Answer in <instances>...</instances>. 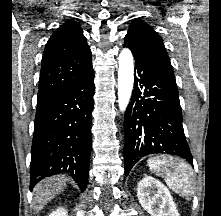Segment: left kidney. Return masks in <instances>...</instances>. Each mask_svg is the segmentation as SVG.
Returning <instances> with one entry per match:
<instances>
[{"instance_id": "5707ae66", "label": "left kidney", "mask_w": 221, "mask_h": 216, "mask_svg": "<svg viewBox=\"0 0 221 216\" xmlns=\"http://www.w3.org/2000/svg\"><path fill=\"white\" fill-rule=\"evenodd\" d=\"M137 197L151 216H180L170 191L154 177L146 175L138 183Z\"/></svg>"}]
</instances>
